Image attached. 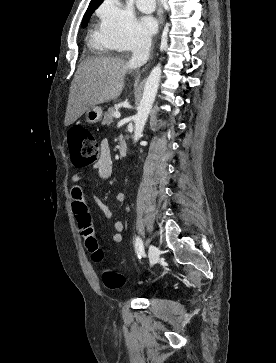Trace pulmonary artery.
I'll list each match as a JSON object with an SVG mask.
<instances>
[{
    "label": "pulmonary artery",
    "mask_w": 276,
    "mask_h": 363,
    "mask_svg": "<svg viewBox=\"0 0 276 363\" xmlns=\"http://www.w3.org/2000/svg\"><path fill=\"white\" fill-rule=\"evenodd\" d=\"M137 7L145 13H151L155 9V0H137Z\"/></svg>",
    "instance_id": "pulmonary-artery-1"
}]
</instances>
